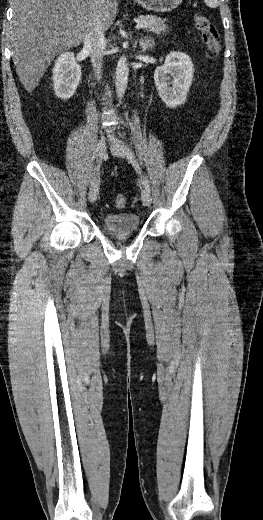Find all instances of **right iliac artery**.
Returning <instances> with one entry per match:
<instances>
[{"mask_svg":"<svg viewBox=\"0 0 263 520\" xmlns=\"http://www.w3.org/2000/svg\"><path fill=\"white\" fill-rule=\"evenodd\" d=\"M99 167H100V162H99L98 165L94 168V171H93V173H92V180H91V182L94 180V178H95V174H96V172L99 170Z\"/></svg>","mask_w":263,"mask_h":520,"instance_id":"obj_1","label":"right iliac artery"}]
</instances>
